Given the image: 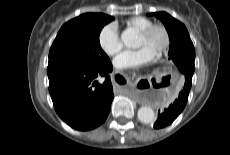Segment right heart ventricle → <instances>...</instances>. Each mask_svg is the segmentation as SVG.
<instances>
[{"label": "right heart ventricle", "mask_w": 230, "mask_h": 155, "mask_svg": "<svg viewBox=\"0 0 230 155\" xmlns=\"http://www.w3.org/2000/svg\"><path fill=\"white\" fill-rule=\"evenodd\" d=\"M126 28L134 31H142L153 24V21L143 16H134L124 22Z\"/></svg>", "instance_id": "right-heart-ventricle-1"}]
</instances>
